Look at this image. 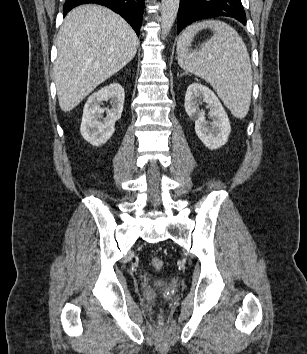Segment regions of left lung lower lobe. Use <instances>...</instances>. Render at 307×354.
<instances>
[{
	"label": "left lung lower lobe",
	"instance_id": "0a47b994",
	"mask_svg": "<svg viewBox=\"0 0 307 354\" xmlns=\"http://www.w3.org/2000/svg\"><path fill=\"white\" fill-rule=\"evenodd\" d=\"M217 16L231 17L246 25L241 0H180L177 31L197 20Z\"/></svg>",
	"mask_w": 307,
	"mask_h": 354
}]
</instances>
